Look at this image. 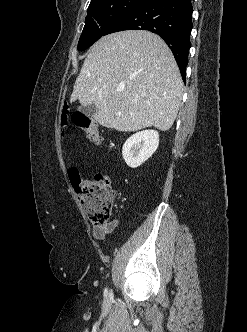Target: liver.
Listing matches in <instances>:
<instances>
[{
  "mask_svg": "<svg viewBox=\"0 0 247 332\" xmlns=\"http://www.w3.org/2000/svg\"><path fill=\"white\" fill-rule=\"evenodd\" d=\"M182 95L183 81L166 43L149 31L128 30L103 36L91 47L70 101L94 104V119L106 128L167 131Z\"/></svg>",
  "mask_w": 247,
  "mask_h": 332,
  "instance_id": "1",
  "label": "liver"
}]
</instances>
